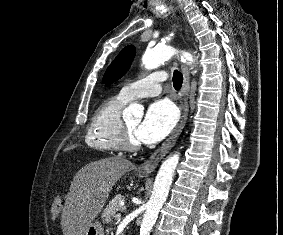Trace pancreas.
<instances>
[{"label":"pancreas","mask_w":283,"mask_h":235,"mask_svg":"<svg viewBox=\"0 0 283 235\" xmlns=\"http://www.w3.org/2000/svg\"><path fill=\"white\" fill-rule=\"evenodd\" d=\"M121 201H124V196L122 194H118L112 200H110L109 204L101 215L104 223L112 222L116 212L124 210V207L120 204Z\"/></svg>","instance_id":"obj_1"}]
</instances>
